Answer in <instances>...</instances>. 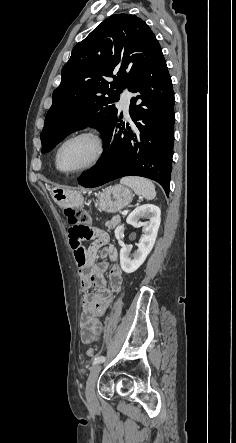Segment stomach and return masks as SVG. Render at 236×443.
Instances as JSON below:
<instances>
[{
  "label": "stomach",
  "instance_id": "1",
  "mask_svg": "<svg viewBox=\"0 0 236 443\" xmlns=\"http://www.w3.org/2000/svg\"><path fill=\"white\" fill-rule=\"evenodd\" d=\"M52 198L62 207L79 206L83 198L79 192L60 187L52 189ZM133 199V193L126 186L116 184L103 190L98 198V207L107 213H116L128 206Z\"/></svg>",
  "mask_w": 236,
  "mask_h": 443
}]
</instances>
